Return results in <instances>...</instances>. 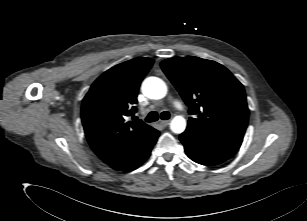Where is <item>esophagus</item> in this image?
I'll use <instances>...</instances> for the list:
<instances>
[{
	"instance_id": "obj_1",
	"label": "esophagus",
	"mask_w": 307,
	"mask_h": 221,
	"mask_svg": "<svg viewBox=\"0 0 307 221\" xmlns=\"http://www.w3.org/2000/svg\"><path fill=\"white\" fill-rule=\"evenodd\" d=\"M169 123H170V121H169V120L160 121V125H161L162 127H166V126H168V125H169Z\"/></svg>"
}]
</instances>
